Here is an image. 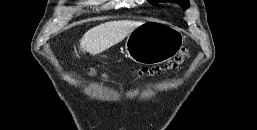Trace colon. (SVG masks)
I'll return each mask as SVG.
<instances>
[{
	"label": "colon",
	"instance_id": "colon-1",
	"mask_svg": "<svg viewBox=\"0 0 257 130\" xmlns=\"http://www.w3.org/2000/svg\"><path fill=\"white\" fill-rule=\"evenodd\" d=\"M189 57V51L187 49H183L173 60L166 63L163 67L155 66V67H142L133 69V72L139 76H147V75H155L160 73L163 70H174L180 67ZM95 69H91V73L95 74Z\"/></svg>",
	"mask_w": 257,
	"mask_h": 130
}]
</instances>
